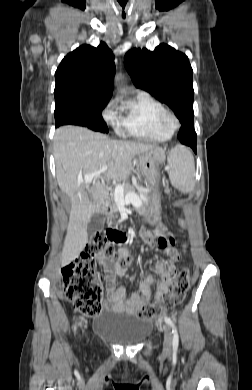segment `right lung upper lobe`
<instances>
[{
  "label": "right lung upper lobe",
  "mask_w": 252,
  "mask_h": 390,
  "mask_svg": "<svg viewBox=\"0 0 252 390\" xmlns=\"http://www.w3.org/2000/svg\"><path fill=\"white\" fill-rule=\"evenodd\" d=\"M115 74L114 55L103 42L82 45L61 61L55 72V104L64 101L108 102Z\"/></svg>",
  "instance_id": "right-lung-upper-lobe-1"
}]
</instances>
